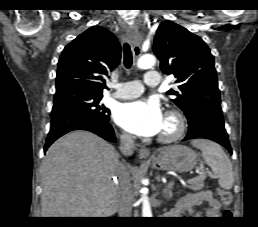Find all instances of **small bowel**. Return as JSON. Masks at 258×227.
I'll return each instance as SVG.
<instances>
[{
	"mask_svg": "<svg viewBox=\"0 0 258 227\" xmlns=\"http://www.w3.org/2000/svg\"><path fill=\"white\" fill-rule=\"evenodd\" d=\"M202 202L208 203V209L204 213H195L193 206L201 204ZM221 209L220 202L215 198L211 190H203L192 194L183 199L178 205L170 212L171 215H178L186 213L189 216L199 215L208 218H214L219 215Z\"/></svg>",
	"mask_w": 258,
	"mask_h": 227,
	"instance_id": "1",
	"label": "small bowel"
}]
</instances>
